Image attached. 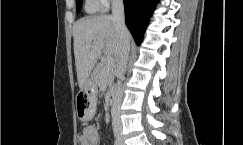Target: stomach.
<instances>
[{"mask_svg":"<svg viewBox=\"0 0 243 145\" xmlns=\"http://www.w3.org/2000/svg\"><path fill=\"white\" fill-rule=\"evenodd\" d=\"M96 88L94 85L85 84L79 94L76 96V112L79 119L85 121L94 116V109L91 106L96 105Z\"/></svg>","mask_w":243,"mask_h":145,"instance_id":"1","label":"stomach"}]
</instances>
